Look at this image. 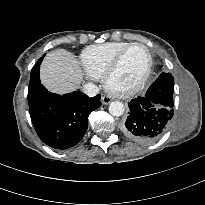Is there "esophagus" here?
<instances>
[{
	"mask_svg": "<svg viewBox=\"0 0 205 205\" xmlns=\"http://www.w3.org/2000/svg\"><path fill=\"white\" fill-rule=\"evenodd\" d=\"M101 101H102L103 104L107 105L111 102V98L107 95H102Z\"/></svg>",
	"mask_w": 205,
	"mask_h": 205,
	"instance_id": "obj_1",
	"label": "esophagus"
}]
</instances>
